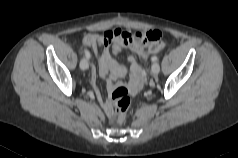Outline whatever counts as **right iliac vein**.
<instances>
[{
	"instance_id": "right-iliac-vein-1",
	"label": "right iliac vein",
	"mask_w": 238,
	"mask_h": 158,
	"mask_svg": "<svg viewBox=\"0 0 238 158\" xmlns=\"http://www.w3.org/2000/svg\"><path fill=\"white\" fill-rule=\"evenodd\" d=\"M89 67V62H88V59L87 58H82L81 61H80V68L82 70H87Z\"/></svg>"
}]
</instances>
